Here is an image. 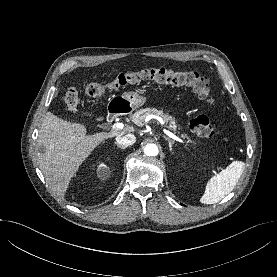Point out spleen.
<instances>
[{"instance_id":"obj_1","label":"spleen","mask_w":277,"mask_h":277,"mask_svg":"<svg viewBox=\"0 0 277 277\" xmlns=\"http://www.w3.org/2000/svg\"><path fill=\"white\" fill-rule=\"evenodd\" d=\"M244 168V162L234 161L220 173L212 176L206 185L200 202L203 204H215L222 200L236 186Z\"/></svg>"}]
</instances>
